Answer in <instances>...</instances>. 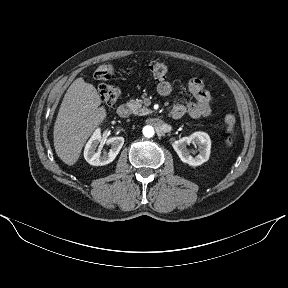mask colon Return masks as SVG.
Instances as JSON below:
<instances>
[{"mask_svg":"<svg viewBox=\"0 0 288 288\" xmlns=\"http://www.w3.org/2000/svg\"><path fill=\"white\" fill-rule=\"evenodd\" d=\"M147 70L150 75L157 80L165 79L169 72L168 66L165 63L157 61L149 62L147 64ZM113 75L114 68L110 64H103L99 66L95 72V77L98 80H109L113 77ZM98 92L101 100L107 105H114L121 95V90L118 86L108 84L99 85ZM224 125L226 130L229 132L235 129L237 125V118L233 111L225 115ZM227 145H231L230 140L227 141Z\"/></svg>","mask_w":288,"mask_h":288,"instance_id":"obj_1","label":"colon"}]
</instances>
